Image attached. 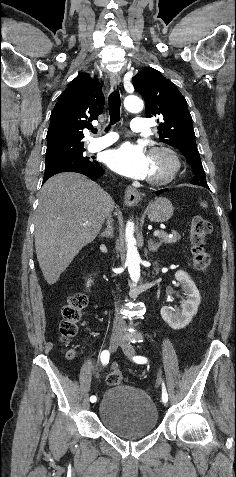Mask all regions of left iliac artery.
Segmentation results:
<instances>
[{"mask_svg": "<svg viewBox=\"0 0 236 477\" xmlns=\"http://www.w3.org/2000/svg\"><path fill=\"white\" fill-rule=\"evenodd\" d=\"M133 360L138 364L147 363V359L143 356H134ZM162 401L163 402L168 401V394H167L166 387H165L164 383H162Z\"/></svg>", "mask_w": 236, "mask_h": 477, "instance_id": "obj_1", "label": "left iliac artery"}]
</instances>
